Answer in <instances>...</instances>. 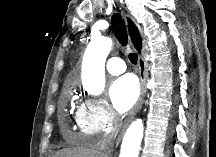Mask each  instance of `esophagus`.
<instances>
[{"mask_svg": "<svg viewBox=\"0 0 216 157\" xmlns=\"http://www.w3.org/2000/svg\"><path fill=\"white\" fill-rule=\"evenodd\" d=\"M123 18L125 20L127 31H128L130 40L132 41L133 47L135 48V50L137 51V53L139 55L141 94H140V97L138 99V102L136 103V105L133 108V111H132L130 118L127 120V122L123 126L121 132L119 133V135L116 139V145H118L120 143L122 136H123L128 124H129V122L133 119L134 115L137 113V111L141 107V104L143 102V98H144L145 93H146V67H145V61L142 57V54L144 51V44L142 42L141 50H138V49H136V47L138 48V44L134 43L132 40V37L134 36V27L139 29V26L137 25V23L134 21V19L129 14L123 13Z\"/></svg>", "mask_w": 216, "mask_h": 157, "instance_id": "esophagus-1", "label": "esophagus"}]
</instances>
